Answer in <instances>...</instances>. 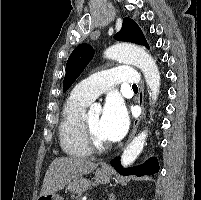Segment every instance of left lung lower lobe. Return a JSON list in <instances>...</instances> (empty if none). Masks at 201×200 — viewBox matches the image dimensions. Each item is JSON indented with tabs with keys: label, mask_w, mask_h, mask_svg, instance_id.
I'll return each mask as SVG.
<instances>
[{
	"label": "left lung lower lobe",
	"mask_w": 201,
	"mask_h": 200,
	"mask_svg": "<svg viewBox=\"0 0 201 200\" xmlns=\"http://www.w3.org/2000/svg\"><path fill=\"white\" fill-rule=\"evenodd\" d=\"M111 165L115 168L117 172L121 175H152L159 171V165L156 158H150L143 165L132 167V168H123L120 163V157H116L111 161Z\"/></svg>",
	"instance_id": "obj_1"
}]
</instances>
